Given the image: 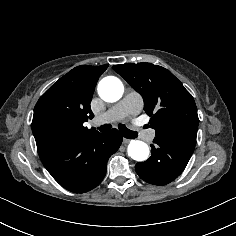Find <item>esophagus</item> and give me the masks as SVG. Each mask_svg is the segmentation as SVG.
<instances>
[{"instance_id": "34e87169", "label": "esophagus", "mask_w": 236, "mask_h": 236, "mask_svg": "<svg viewBox=\"0 0 236 236\" xmlns=\"http://www.w3.org/2000/svg\"><path fill=\"white\" fill-rule=\"evenodd\" d=\"M130 141V139H127V138H124L123 139V142L126 144V143H128Z\"/></svg>"}]
</instances>
